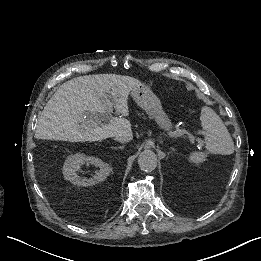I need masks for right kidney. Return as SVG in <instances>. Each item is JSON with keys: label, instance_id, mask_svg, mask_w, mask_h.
Segmentation results:
<instances>
[{"label": "right kidney", "instance_id": "ca27d5eb", "mask_svg": "<svg viewBox=\"0 0 261 261\" xmlns=\"http://www.w3.org/2000/svg\"><path fill=\"white\" fill-rule=\"evenodd\" d=\"M92 164L99 167L100 170L96 172V176L91 178H83L78 175V169L82 164ZM111 166L99 158L84 155H75L67 159L64 167L65 179L77 186H92L96 183L102 182L109 175Z\"/></svg>", "mask_w": 261, "mask_h": 261}]
</instances>
